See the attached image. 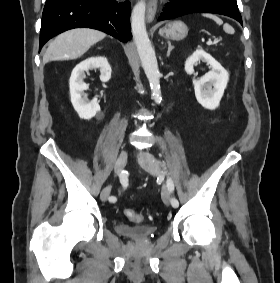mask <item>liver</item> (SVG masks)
Here are the masks:
<instances>
[{
  "instance_id": "liver-1",
  "label": "liver",
  "mask_w": 280,
  "mask_h": 283,
  "mask_svg": "<svg viewBox=\"0 0 280 283\" xmlns=\"http://www.w3.org/2000/svg\"><path fill=\"white\" fill-rule=\"evenodd\" d=\"M105 36V33L89 28L66 31L50 43L44 54L43 62L76 59Z\"/></svg>"
}]
</instances>
